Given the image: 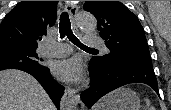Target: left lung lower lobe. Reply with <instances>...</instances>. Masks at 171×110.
<instances>
[{
    "label": "left lung lower lobe",
    "instance_id": "left-lung-lower-lobe-1",
    "mask_svg": "<svg viewBox=\"0 0 171 110\" xmlns=\"http://www.w3.org/2000/svg\"><path fill=\"white\" fill-rule=\"evenodd\" d=\"M91 86L81 94L88 108L110 91L130 83H145L159 95L158 84L152 66L116 63L98 67L89 65Z\"/></svg>",
    "mask_w": 171,
    "mask_h": 110
}]
</instances>
